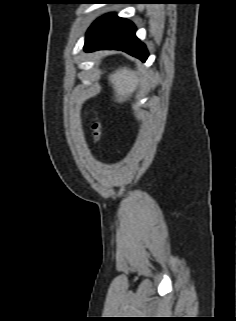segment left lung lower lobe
Listing matches in <instances>:
<instances>
[{
  "mask_svg": "<svg viewBox=\"0 0 236 321\" xmlns=\"http://www.w3.org/2000/svg\"><path fill=\"white\" fill-rule=\"evenodd\" d=\"M104 3L119 4L120 0H106ZM134 24L115 13H108L98 18L86 33L84 50L92 52L101 49L122 50L146 61L148 51L135 35Z\"/></svg>",
  "mask_w": 236,
  "mask_h": 321,
  "instance_id": "0a47b994",
  "label": "left lung lower lobe"
}]
</instances>
